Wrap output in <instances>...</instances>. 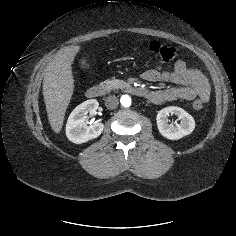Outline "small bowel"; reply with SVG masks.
<instances>
[{
  "mask_svg": "<svg viewBox=\"0 0 236 236\" xmlns=\"http://www.w3.org/2000/svg\"><path fill=\"white\" fill-rule=\"evenodd\" d=\"M142 77L148 82H170L176 87L150 91L148 97L152 102L160 104L174 100L191 101L201 99L203 103L210 98V84L207 77L199 70L189 68L185 60H178L173 71H167L162 65L146 70Z\"/></svg>",
  "mask_w": 236,
  "mask_h": 236,
  "instance_id": "1",
  "label": "small bowel"
}]
</instances>
